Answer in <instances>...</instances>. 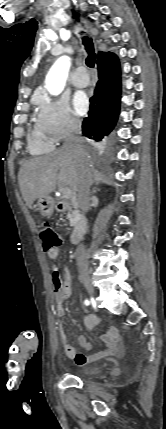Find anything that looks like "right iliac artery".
I'll use <instances>...</instances> for the list:
<instances>
[{
  "label": "right iliac artery",
  "instance_id": "obj_1",
  "mask_svg": "<svg viewBox=\"0 0 166 429\" xmlns=\"http://www.w3.org/2000/svg\"><path fill=\"white\" fill-rule=\"evenodd\" d=\"M84 303H85V305H87V306H88V305L90 304V301L86 299V300L84 301Z\"/></svg>",
  "mask_w": 166,
  "mask_h": 429
}]
</instances>
